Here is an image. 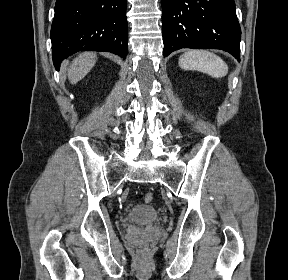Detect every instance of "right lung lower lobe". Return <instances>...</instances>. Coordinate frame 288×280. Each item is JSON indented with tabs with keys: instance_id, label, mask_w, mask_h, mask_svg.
Listing matches in <instances>:
<instances>
[{
	"instance_id": "right-lung-lower-lobe-1",
	"label": "right lung lower lobe",
	"mask_w": 288,
	"mask_h": 280,
	"mask_svg": "<svg viewBox=\"0 0 288 280\" xmlns=\"http://www.w3.org/2000/svg\"><path fill=\"white\" fill-rule=\"evenodd\" d=\"M127 0H57L51 27L53 62L78 51L111 52L126 58Z\"/></svg>"
}]
</instances>
